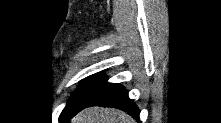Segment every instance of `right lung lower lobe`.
Segmentation results:
<instances>
[{
  "label": "right lung lower lobe",
  "instance_id": "right-lung-lower-lobe-1",
  "mask_svg": "<svg viewBox=\"0 0 221 123\" xmlns=\"http://www.w3.org/2000/svg\"><path fill=\"white\" fill-rule=\"evenodd\" d=\"M102 106V107H115L128 111L132 117L139 120V109L128 98L127 91L119 84L103 82L94 92L90 102L84 107ZM64 121H68L72 116H64L61 114Z\"/></svg>",
  "mask_w": 221,
  "mask_h": 123
}]
</instances>
